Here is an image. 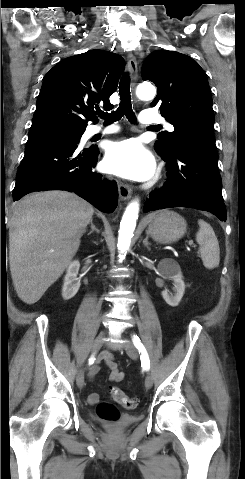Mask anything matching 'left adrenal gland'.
<instances>
[{"instance_id":"1","label":"left adrenal gland","mask_w":245,"mask_h":479,"mask_svg":"<svg viewBox=\"0 0 245 479\" xmlns=\"http://www.w3.org/2000/svg\"><path fill=\"white\" fill-rule=\"evenodd\" d=\"M143 244L148 250H150V246H149V242H148V236H146V238L143 240Z\"/></svg>"}]
</instances>
